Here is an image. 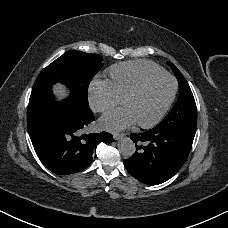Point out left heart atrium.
Returning a JSON list of instances; mask_svg holds the SVG:
<instances>
[{
  "instance_id": "39dd6f15",
  "label": "left heart atrium",
  "mask_w": 228,
  "mask_h": 228,
  "mask_svg": "<svg viewBox=\"0 0 228 228\" xmlns=\"http://www.w3.org/2000/svg\"><path fill=\"white\" fill-rule=\"evenodd\" d=\"M134 121L135 117L128 107L111 112L103 120V122H105L108 127H113L115 129L124 128L125 126L133 123Z\"/></svg>"
}]
</instances>
